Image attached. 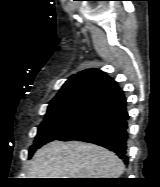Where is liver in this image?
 Listing matches in <instances>:
<instances>
[{
	"mask_svg": "<svg viewBox=\"0 0 160 187\" xmlns=\"http://www.w3.org/2000/svg\"><path fill=\"white\" fill-rule=\"evenodd\" d=\"M124 164L115 153L79 141H53L40 148L28 169L29 178H118Z\"/></svg>",
	"mask_w": 160,
	"mask_h": 187,
	"instance_id": "obj_1",
	"label": "liver"
}]
</instances>
